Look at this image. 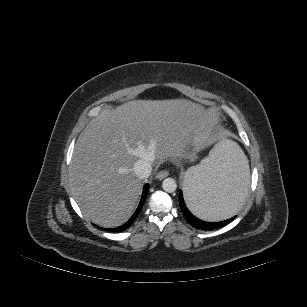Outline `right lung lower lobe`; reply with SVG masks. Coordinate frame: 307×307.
<instances>
[{
    "mask_svg": "<svg viewBox=\"0 0 307 307\" xmlns=\"http://www.w3.org/2000/svg\"><path fill=\"white\" fill-rule=\"evenodd\" d=\"M148 190H149V185L146 184L144 186L143 194H142V197H141V200H140V203H139L137 210L135 211V213L132 215V217L125 224H123L122 226H119L117 228H113V229H105V228H102V229L106 230V231H110V232H121V231H124L127 228H129L132 225V223L134 222V220L136 219V217L138 216V214L140 213V211L143 207V204L145 202Z\"/></svg>",
    "mask_w": 307,
    "mask_h": 307,
    "instance_id": "98d812e1",
    "label": "right lung lower lobe"
}]
</instances>
